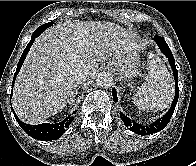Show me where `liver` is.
I'll return each mask as SVG.
<instances>
[{"instance_id":"obj_1","label":"liver","mask_w":196,"mask_h":166,"mask_svg":"<svg viewBox=\"0 0 196 166\" xmlns=\"http://www.w3.org/2000/svg\"><path fill=\"white\" fill-rule=\"evenodd\" d=\"M141 49L134 34L111 22L58 23L31 46L14 84V111L25 123H41L71 101L76 71L92 79L101 60Z\"/></svg>"}]
</instances>
